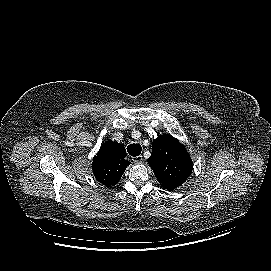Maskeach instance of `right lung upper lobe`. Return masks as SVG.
<instances>
[{"instance_id": "cb5924a9", "label": "right lung upper lobe", "mask_w": 271, "mask_h": 271, "mask_svg": "<svg viewBox=\"0 0 271 271\" xmlns=\"http://www.w3.org/2000/svg\"><path fill=\"white\" fill-rule=\"evenodd\" d=\"M125 157L126 151L122 144L106 141L93 159L92 170L95 178L107 187L115 185L130 164Z\"/></svg>"}]
</instances>
